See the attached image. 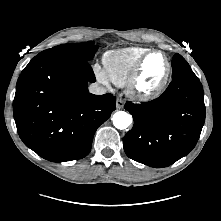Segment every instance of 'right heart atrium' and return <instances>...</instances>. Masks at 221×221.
I'll list each match as a JSON object with an SVG mask.
<instances>
[{"label":"right heart atrium","mask_w":221,"mask_h":221,"mask_svg":"<svg viewBox=\"0 0 221 221\" xmlns=\"http://www.w3.org/2000/svg\"><path fill=\"white\" fill-rule=\"evenodd\" d=\"M93 72L98 81H100L103 84L108 85L110 79L108 78L107 74L105 73L104 69H102L98 64H95L93 66Z\"/></svg>","instance_id":"obj_1"}]
</instances>
